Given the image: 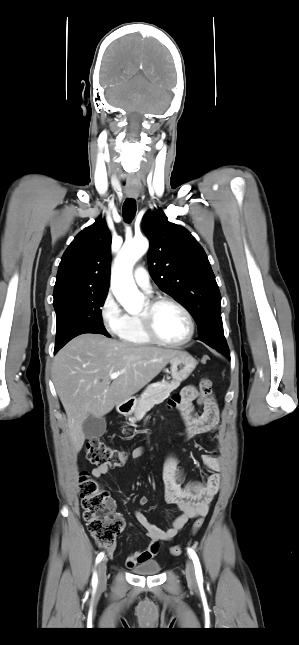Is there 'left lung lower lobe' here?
<instances>
[{"mask_svg":"<svg viewBox=\"0 0 299 645\" xmlns=\"http://www.w3.org/2000/svg\"><path fill=\"white\" fill-rule=\"evenodd\" d=\"M222 353H224L227 357H230V356H229V349H228V350H225V351H224V352H222Z\"/></svg>","mask_w":299,"mask_h":645,"instance_id":"0a47b994","label":"left lung lower lobe"}]
</instances>
